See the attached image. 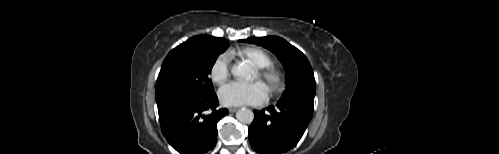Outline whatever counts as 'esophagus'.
<instances>
[{
	"instance_id": "34e87169",
	"label": "esophagus",
	"mask_w": 499,
	"mask_h": 154,
	"mask_svg": "<svg viewBox=\"0 0 499 154\" xmlns=\"http://www.w3.org/2000/svg\"><path fill=\"white\" fill-rule=\"evenodd\" d=\"M228 110H229V112L233 113V112H235L237 110V108H235V107H229Z\"/></svg>"
}]
</instances>
